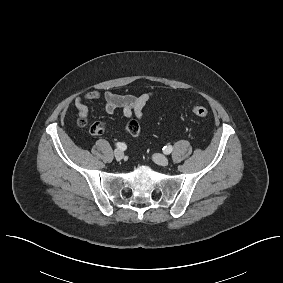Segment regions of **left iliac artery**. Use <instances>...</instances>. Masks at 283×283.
Here are the masks:
<instances>
[{
	"instance_id": "left-iliac-artery-1",
	"label": "left iliac artery",
	"mask_w": 283,
	"mask_h": 283,
	"mask_svg": "<svg viewBox=\"0 0 283 283\" xmlns=\"http://www.w3.org/2000/svg\"><path fill=\"white\" fill-rule=\"evenodd\" d=\"M172 150H173V147L171 145L163 147V152L165 154H170L172 152Z\"/></svg>"
}]
</instances>
